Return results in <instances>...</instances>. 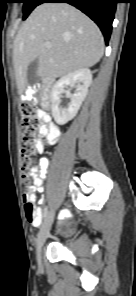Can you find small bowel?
<instances>
[{
  "instance_id": "obj_1",
  "label": "small bowel",
  "mask_w": 136,
  "mask_h": 296,
  "mask_svg": "<svg viewBox=\"0 0 136 296\" xmlns=\"http://www.w3.org/2000/svg\"><path fill=\"white\" fill-rule=\"evenodd\" d=\"M39 118L42 121V125L40 126L39 132H38V135H39V138L37 139V142L39 144L38 152L43 153L44 144H43L42 138H46L50 144H54L60 136V130L55 124L51 123L50 116L46 112L40 111ZM46 165H47V161L42 160L41 168H45ZM34 189L37 191H41L43 189L42 175L35 177ZM38 212H39L40 219L38 221L32 222L34 226H39L43 219L42 212L41 211H38Z\"/></svg>"
}]
</instances>
